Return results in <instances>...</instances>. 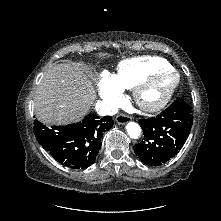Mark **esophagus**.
Returning <instances> with one entry per match:
<instances>
[{"instance_id": "1", "label": "esophagus", "mask_w": 221, "mask_h": 221, "mask_svg": "<svg viewBox=\"0 0 221 221\" xmlns=\"http://www.w3.org/2000/svg\"><path fill=\"white\" fill-rule=\"evenodd\" d=\"M130 121V117L125 115V114H119L117 117H116V122L118 124H126Z\"/></svg>"}]
</instances>
